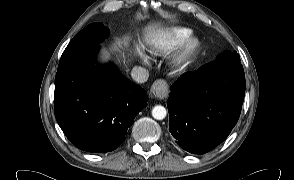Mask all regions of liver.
Returning a JSON list of instances; mask_svg holds the SVG:
<instances>
[{
    "label": "liver",
    "instance_id": "1",
    "mask_svg": "<svg viewBox=\"0 0 294 180\" xmlns=\"http://www.w3.org/2000/svg\"><path fill=\"white\" fill-rule=\"evenodd\" d=\"M156 27H157L156 25L155 26L154 25H150L148 27V29L146 31V35H145V40L146 41L149 40V39H151L154 36L155 32L157 31V28Z\"/></svg>",
    "mask_w": 294,
    "mask_h": 180
}]
</instances>
